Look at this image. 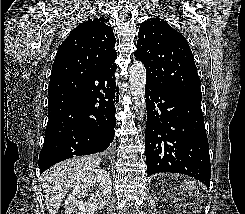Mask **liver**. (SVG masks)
<instances>
[{"label":"liver","mask_w":245,"mask_h":214,"mask_svg":"<svg viewBox=\"0 0 245 214\" xmlns=\"http://www.w3.org/2000/svg\"><path fill=\"white\" fill-rule=\"evenodd\" d=\"M98 155L63 161L48 169L41 177L46 207L50 214H58L66 193L90 171L99 167Z\"/></svg>","instance_id":"1"}]
</instances>
